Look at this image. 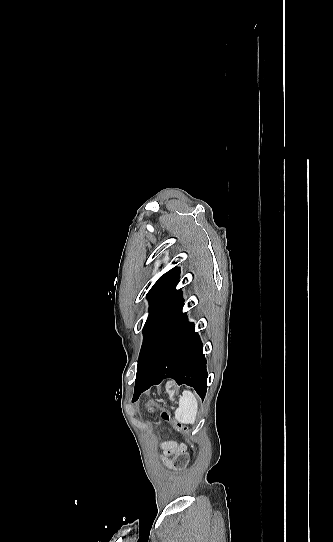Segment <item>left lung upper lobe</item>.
Returning <instances> with one entry per match:
<instances>
[{"instance_id":"left-lung-upper-lobe-1","label":"left lung upper lobe","mask_w":333,"mask_h":542,"mask_svg":"<svg viewBox=\"0 0 333 542\" xmlns=\"http://www.w3.org/2000/svg\"><path fill=\"white\" fill-rule=\"evenodd\" d=\"M179 281V268L163 274L149 290L150 311L143 328L144 339L139 354L137 372L141 367L146 350L163 325L181 307L182 292L175 287Z\"/></svg>"}]
</instances>
